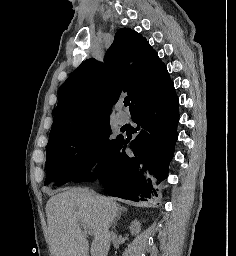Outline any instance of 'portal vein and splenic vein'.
Listing matches in <instances>:
<instances>
[{"label":"portal vein and splenic vein","instance_id":"1","mask_svg":"<svg viewBox=\"0 0 236 256\" xmlns=\"http://www.w3.org/2000/svg\"><path fill=\"white\" fill-rule=\"evenodd\" d=\"M81 226H82V228L84 230L83 234H90L89 226H86V224H81Z\"/></svg>","mask_w":236,"mask_h":256}]
</instances>
